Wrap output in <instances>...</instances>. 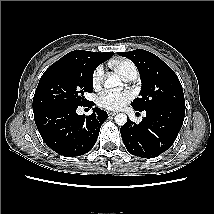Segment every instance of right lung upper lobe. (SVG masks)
I'll use <instances>...</instances> for the list:
<instances>
[{
    "instance_id": "right-lung-upper-lobe-1",
    "label": "right lung upper lobe",
    "mask_w": 214,
    "mask_h": 214,
    "mask_svg": "<svg viewBox=\"0 0 214 214\" xmlns=\"http://www.w3.org/2000/svg\"><path fill=\"white\" fill-rule=\"evenodd\" d=\"M113 54H114L113 52L98 53L84 50H74L63 56L60 60L64 61L77 60L97 67L101 63L109 59L111 56H113Z\"/></svg>"
}]
</instances>
